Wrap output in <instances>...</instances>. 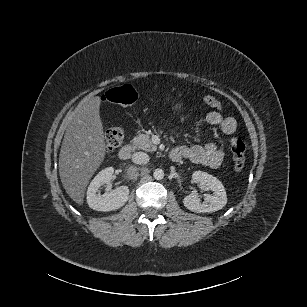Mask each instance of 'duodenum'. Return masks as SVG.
I'll list each match as a JSON object with an SVG mask.
<instances>
[{
	"label": "duodenum",
	"instance_id": "1",
	"mask_svg": "<svg viewBox=\"0 0 307 307\" xmlns=\"http://www.w3.org/2000/svg\"><path fill=\"white\" fill-rule=\"evenodd\" d=\"M133 148L131 145L127 144L120 148L118 152V158L121 161H127L132 154ZM172 156V152L170 153V157Z\"/></svg>",
	"mask_w": 307,
	"mask_h": 307
}]
</instances>
